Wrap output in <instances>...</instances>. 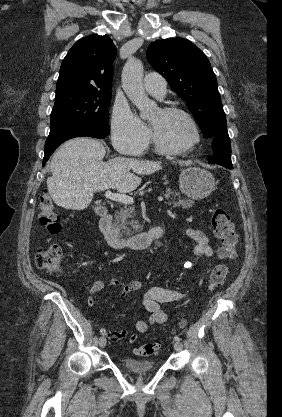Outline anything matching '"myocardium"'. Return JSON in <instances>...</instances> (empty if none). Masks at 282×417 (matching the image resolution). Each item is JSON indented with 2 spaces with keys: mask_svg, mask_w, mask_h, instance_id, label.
<instances>
[{
  "mask_svg": "<svg viewBox=\"0 0 282 417\" xmlns=\"http://www.w3.org/2000/svg\"><path fill=\"white\" fill-rule=\"evenodd\" d=\"M159 110L162 113L167 114V115H178L182 117L188 124L191 130V135H192L188 143L184 145H179V146H171L163 142L162 139L158 136V134L150 125L149 130H150L153 142L159 149L168 153H181V152H185L187 150L194 148L200 142V134H199L197 125L195 121L193 120V118L187 112L181 109L175 108V107H163V108H160Z\"/></svg>",
  "mask_w": 282,
  "mask_h": 417,
  "instance_id": "obj_1",
  "label": "myocardium"
}]
</instances>
